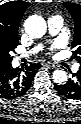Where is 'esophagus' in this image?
I'll return each instance as SVG.
<instances>
[{"instance_id": "esophagus-1", "label": "esophagus", "mask_w": 81, "mask_h": 124, "mask_svg": "<svg viewBox=\"0 0 81 124\" xmlns=\"http://www.w3.org/2000/svg\"><path fill=\"white\" fill-rule=\"evenodd\" d=\"M44 66H45V67H48V68H54V67H56L55 64H52V63H50V62L44 63Z\"/></svg>"}]
</instances>
